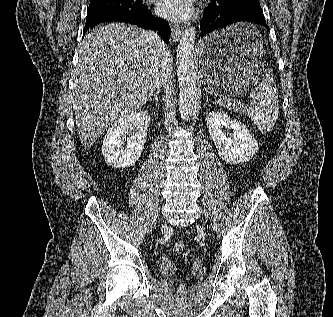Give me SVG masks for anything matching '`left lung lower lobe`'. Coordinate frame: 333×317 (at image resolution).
I'll return each instance as SVG.
<instances>
[{
  "mask_svg": "<svg viewBox=\"0 0 333 317\" xmlns=\"http://www.w3.org/2000/svg\"><path fill=\"white\" fill-rule=\"evenodd\" d=\"M237 22L259 24L270 31L259 2L234 3L221 0L211 2L205 10L200 23V37ZM211 51L218 53L219 49L213 48Z\"/></svg>",
  "mask_w": 333,
  "mask_h": 317,
  "instance_id": "obj_1",
  "label": "left lung lower lobe"
}]
</instances>
